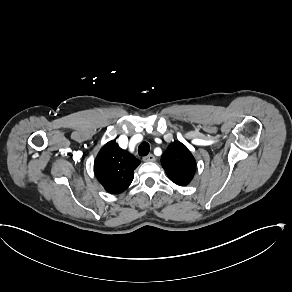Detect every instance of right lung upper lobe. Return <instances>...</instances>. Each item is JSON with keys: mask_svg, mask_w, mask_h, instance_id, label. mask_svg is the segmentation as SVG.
<instances>
[{"mask_svg": "<svg viewBox=\"0 0 292 292\" xmlns=\"http://www.w3.org/2000/svg\"><path fill=\"white\" fill-rule=\"evenodd\" d=\"M140 162L129 152L121 149L115 141H109L99 151L94 171L107 192L119 194L131 184L134 170Z\"/></svg>", "mask_w": 292, "mask_h": 292, "instance_id": "right-lung-upper-lobe-1", "label": "right lung upper lobe"}]
</instances>
